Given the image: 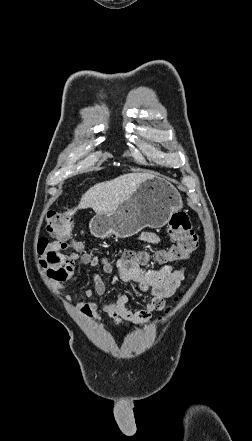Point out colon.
Masks as SVG:
<instances>
[{
    "mask_svg": "<svg viewBox=\"0 0 252 441\" xmlns=\"http://www.w3.org/2000/svg\"><path fill=\"white\" fill-rule=\"evenodd\" d=\"M47 229L60 239H67L72 229V220L52 212L48 216ZM168 235L173 241V245L168 250L155 253L154 259L158 262L180 261L187 259L190 254L197 249L198 237L191 227L188 216L185 213L174 214L167 228ZM77 250H82V245L76 243ZM38 252L41 256V266L46 271L48 277L56 282H60L67 276L66 258L63 254L64 243L62 241L40 240L38 242ZM151 259L148 252L127 251L123 257L127 262L147 263Z\"/></svg>",
    "mask_w": 252,
    "mask_h": 441,
    "instance_id": "5ec220e1",
    "label": "colon"
}]
</instances>
